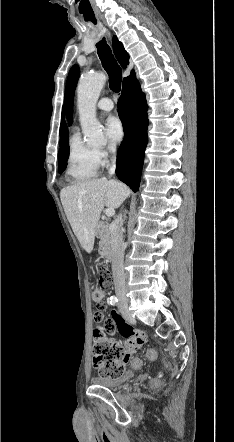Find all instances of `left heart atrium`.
Masks as SVG:
<instances>
[{
	"mask_svg": "<svg viewBox=\"0 0 234 442\" xmlns=\"http://www.w3.org/2000/svg\"><path fill=\"white\" fill-rule=\"evenodd\" d=\"M106 132L111 142L118 143L124 137V127L117 116H110L106 120Z\"/></svg>",
	"mask_w": 234,
	"mask_h": 442,
	"instance_id": "39dd6f15",
	"label": "left heart atrium"
}]
</instances>
